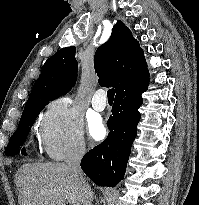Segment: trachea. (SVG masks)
Returning a JSON list of instances; mask_svg holds the SVG:
<instances>
[{
	"mask_svg": "<svg viewBox=\"0 0 199 205\" xmlns=\"http://www.w3.org/2000/svg\"><path fill=\"white\" fill-rule=\"evenodd\" d=\"M114 95H115V90L112 88V89H109L107 91V97H108V100H113L114 99Z\"/></svg>",
	"mask_w": 199,
	"mask_h": 205,
	"instance_id": "1",
	"label": "trachea"
}]
</instances>
